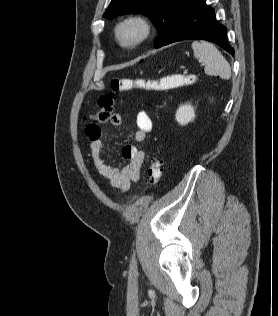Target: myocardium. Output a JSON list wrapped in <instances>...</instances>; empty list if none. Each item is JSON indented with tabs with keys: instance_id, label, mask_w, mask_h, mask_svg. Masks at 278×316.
Instances as JSON below:
<instances>
[{
	"instance_id": "f54148a6",
	"label": "myocardium",
	"mask_w": 278,
	"mask_h": 316,
	"mask_svg": "<svg viewBox=\"0 0 278 316\" xmlns=\"http://www.w3.org/2000/svg\"><path fill=\"white\" fill-rule=\"evenodd\" d=\"M132 28L135 35L131 39L123 37V31ZM152 23L143 14L133 13L119 20L114 28V38L117 44L126 50H133L146 42L152 33Z\"/></svg>"
}]
</instances>
